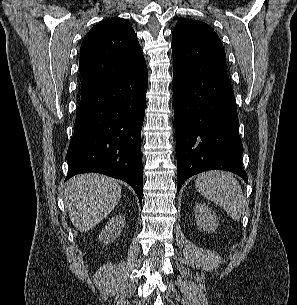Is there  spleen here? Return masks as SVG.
Returning a JSON list of instances; mask_svg holds the SVG:
<instances>
[{
  "instance_id": "1",
  "label": "spleen",
  "mask_w": 297,
  "mask_h": 305,
  "mask_svg": "<svg viewBox=\"0 0 297 305\" xmlns=\"http://www.w3.org/2000/svg\"><path fill=\"white\" fill-rule=\"evenodd\" d=\"M197 191L221 206L232 219L239 221L245 199L238 181L229 172L209 171L200 174L195 182Z\"/></svg>"
}]
</instances>
